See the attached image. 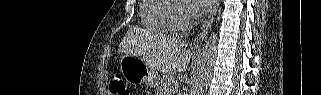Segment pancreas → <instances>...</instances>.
Returning a JSON list of instances; mask_svg holds the SVG:
<instances>
[{
  "mask_svg": "<svg viewBox=\"0 0 321 95\" xmlns=\"http://www.w3.org/2000/svg\"><path fill=\"white\" fill-rule=\"evenodd\" d=\"M178 88L173 73L165 74L156 86L157 95H169Z\"/></svg>",
  "mask_w": 321,
  "mask_h": 95,
  "instance_id": "pancreas-1",
  "label": "pancreas"
}]
</instances>
